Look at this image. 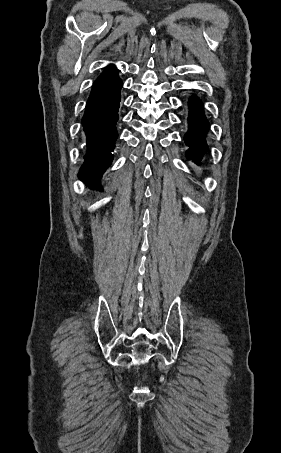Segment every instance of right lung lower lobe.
I'll return each mask as SVG.
<instances>
[{"mask_svg":"<svg viewBox=\"0 0 281 453\" xmlns=\"http://www.w3.org/2000/svg\"><path fill=\"white\" fill-rule=\"evenodd\" d=\"M122 85L117 69L113 65L105 68L93 84L82 119L87 148L78 176L98 190H102L100 179L113 160Z\"/></svg>","mask_w":281,"mask_h":453,"instance_id":"98d812e1","label":"right lung lower lobe"}]
</instances>
